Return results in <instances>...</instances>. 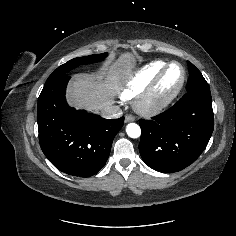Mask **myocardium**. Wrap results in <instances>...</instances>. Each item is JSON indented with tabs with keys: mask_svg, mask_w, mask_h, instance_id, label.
Instances as JSON below:
<instances>
[{
	"mask_svg": "<svg viewBox=\"0 0 236 236\" xmlns=\"http://www.w3.org/2000/svg\"><path fill=\"white\" fill-rule=\"evenodd\" d=\"M172 65H178L181 68L182 72L181 80L177 85V87L169 95L160 99H156L155 93L157 87L159 86L160 82L164 78L168 69ZM185 81H186V71L184 66L179 62L167 63L162 68V70L157 74V76L151 81V83L146 87V89L142 92V94L139 96L135 104L136 110L140 114L145 116H152L162 112L177 98V96L184 87Z\"/></svg>",
	"mask_w": 236,
	"mask_h": 236,
	"instance_id": "f54148a6",
	"label": "myocardium"
}]
</instances>
